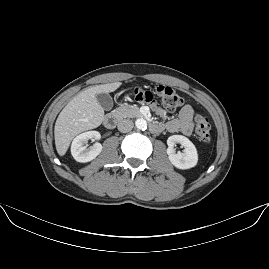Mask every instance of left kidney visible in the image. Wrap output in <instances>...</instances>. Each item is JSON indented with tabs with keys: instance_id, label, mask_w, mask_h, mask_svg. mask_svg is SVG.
<instances>
[{
	"instance_id": "5707ae66",
	"label": "left kidney",
	"mask_w": 269,
	"mask_h": 269,
	"mask_svg": "<svg viewBox=\"0 0 269 269\" xmlns=\"http://www.w3.org/2000/svg\"><path fill=\"white\" fill-rule=\"evenodd\" d=\"M184 147L183 152H176V144ZM167 154L170 162L179 169L194 167L198 161V154L195 145L185 136L172 135L167 139Z\"/></svg>"
}]
</instances>
